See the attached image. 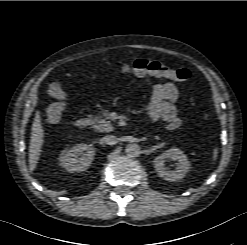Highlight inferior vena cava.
Returning <instances> with one entry per match:
<instances>
[{
	"label": "inferior vena cava",
	"mask_w": 247,
	"mask_h": 245,
	"mask_svg": "<svg viewBox=\"0 0 247 245\" xmlns=\"http://www.w3.org/2000/svg\"><path fill=\"white\" fill-rule=\"evenodd\" d=\"M103 142L108 144V145H115L118 143V138L114 135H107L103 137Z\"/></svg>",
	"instance_id": "inferior-vena-cava-1"
}]
</instances>
